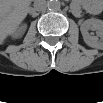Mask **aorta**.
<instances>
[{
	"mask_svg": "<svg viewBox=\"0 0 103 103\" xmlns=\"http://www.w3.org/2000/svg\"><path fill=\"white\" fill-rule=\"evenodd\" d=\"M47 6L49 10L56 11L60 9L61 3L58 0H49Z\"/></svg>",
	"mask_w": 103,
	"mask_h": 103,
	"instance_id": "1",
	"label": "aorta"
}]
</instances>
